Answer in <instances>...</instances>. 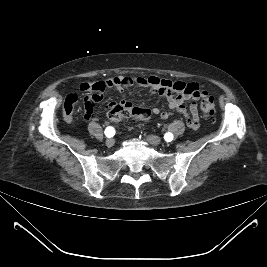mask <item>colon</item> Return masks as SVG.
Returning a JSON list of instances; mask_svg holds the SVG:
<instances>
[{
	"label": "colon",
	"mask_w": 267,
	"mask_h": 267,
	"mask_svg": "<svg viewBox=\"0 0 267 267\" xmlns=\"http://www.w3.org/2000/svg\"><path fill=\"white\" fill-rule=\"evenodd\" d=\"M201 110L206 117L209 119H214L216 108L214 101L211 97L207 96L204 97L201 101ZM108 119L113 122L117 123L121 121L125 117H131L135 120H147L151 116V111L144 107L139 106H132L130 108H114L109 110L108 112Z\"/></svg>",
	"instance_id": "obj_1"
}]
</instances>
